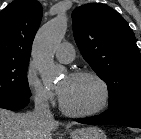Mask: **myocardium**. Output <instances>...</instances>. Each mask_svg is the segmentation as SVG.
Returning a JSON list of instances; mask_svg holds the SVG:
<instances>
[{
	"instance_id": "obj_1",
	"label": "myocardium",
	"mask_w": 141,
	"mask_h": 139,
	"mask_svg": "<svg viewBox=\"0 0 141 139\" xmlns=\"http://www.w3.org/2000/svg\"><path fill=\"white\" fill-rule=\"evenodd\" d=\"M69 76L74 77V78L89 77L97 81V83L100 85L101 90H102V100L100 104L92 110L75 111V110L69 109L64 104L61 96H59L60 109L62 110L64 114L71 116V117L86 118V117L96 116L102 113L108 107L109 102H110V97H111L110 88L106 80L101 75L91 70H76V71L71 72Z\"/></svg>"
}]
</instances>
